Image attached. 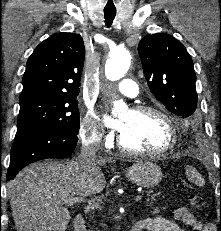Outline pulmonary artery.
I'll use <instances>...</instances> for the list:
<instances>
[{"mask_svg":"<svg viewBox=\"0 0 221 231\" xmlns=\"http://www.w3.org/2000/svg\"><path fill=\"white\" fill-rule=\"evenodd\" d=\"M117 90L130 98H135L139 96V90L136 83L130 79L122 80L117 86Z\"/></svg>","mask_w":221,"mask_h":231,"instance_id":"obj_1","label":"pulmonary artery"}]
</instances>
